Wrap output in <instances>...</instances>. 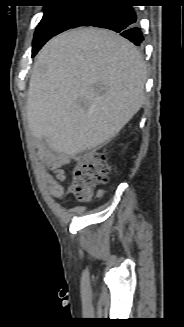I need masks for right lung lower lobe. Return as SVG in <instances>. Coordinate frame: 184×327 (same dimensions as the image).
Masks as SVG:
<instances>
[{
	"label": "right lung lower lobe",
	"mask_w": 184,
	"mask_h": 327,
	"mask_svg": "<svg viewBox=\"0 0 184 327\" xmlns=\"http://www.w3.org/2000/svg\"><path fill=\"white\" fill-rule=\"evenodd\" d=\"M124 0H97L71 27L93 26L120 33L135 45L143 40L141 29L137 27V15L130 5L122 4Z\"/></svg>",
	"instance_id": "obj_1"
}]
</instances>
